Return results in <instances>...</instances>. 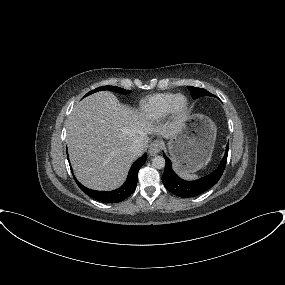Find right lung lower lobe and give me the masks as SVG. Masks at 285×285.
<instances>
[{
	"label": "right lung lower lobe",
	"mask_w": 285,
	"mask_h": 285,
	"mask_svg": "<svg viewBox=\"0 0 285 285\" xmlns=\"http://www.w3.org/2000/svg\"><path fill=\"white\" fill-rule=\"evenodd\" d=\"M147 154L145 153L141 158L136 160L132 167L130 168L128 177L125 183L118 189L113 191H96L86 188L81 183H79L76 179V183L80 187V189L86 193L89 197L103 202V203H118L125 200L129 197L136 189L137 184V175L139 169L146 162Z\"/></svg>",
	"instance_id": "1"
}]
</instances>
